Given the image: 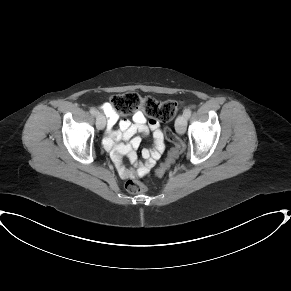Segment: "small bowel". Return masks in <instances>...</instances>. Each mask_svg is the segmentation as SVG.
<instances>
[{"instance_id": "small-bowel-1", "label": "small bowel", "mask_w": 291, "mask_h": 291, "mask_svg": "<svg viewBox=\"0 0 291 291\" xmlns=\"http://www.w3.org/2000/svg\"><path fill=\"white\" fill-rule=\"evenodd\" d=\"M101 109L108 118L107 137L103 144L105 149L110 152L120 176L124 179H135L138 176L147 174L154 167L165 149L164 135L159 122L154 119H148L140 110L134 113L133 122H130L124 113L115 110L110 103H104ZM149 132L153 134V149L142 150V160L137 161L136 149L139 147L141 139L136 134H148ZM128 140H130L129 143H120V141ZM185 150V145L178 142L173 159L176 160L181 157ZM123 156H127L134 164L132 168H127L123 165Z\"/></svg>"}]
</instances>
